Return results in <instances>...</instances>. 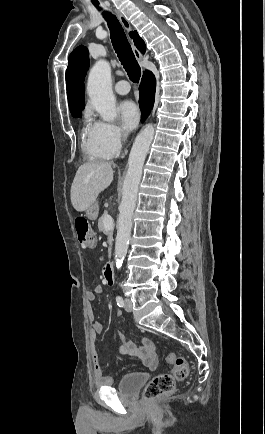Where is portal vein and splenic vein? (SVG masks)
Wrapping results in <instances>:
<instances>
[{
    "mask_svg": "<svg viewBox=\"0 0 265 434\" xmlns=\"http://www.w3.org/2000/svg\"><path fill=\"white\" fill-rule=\"evenodd\" d=\"M104 226L106 228V230H111V228H113V218H111V216H104Z\"/></svg>",
    "mask_w": 265,
    "mask_h": 434,
    "instance_id": "portal-vein-and-splenic-vein-1",
    "label": "portal vein and splenic vein"
}]
</instances>
